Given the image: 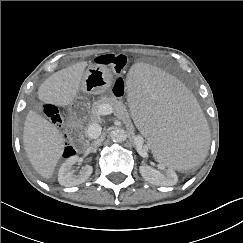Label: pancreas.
Listing matches in <instances>:
<instances>
[{"label":"pancreas","instance_id":"obj_1","mask_svg":"<svg viewBox=\"0 0 243 243\" xmlns=\"http://www.w3.org/2000/svg\"><path fill=\"white\" fill-rule=\"evenodd\" d=\"M103 104H109L112 109H113V113L114 115L121 121H123L124 123H130V117H129V113L127 112V109L125 107V105L121 102L118 101L116 98L110 96H101L97 101H95L92 104L91 107V119H98L100 114V107ZM85 133H87V127L84 128Z\"/></svg>","mask_w":243,"mask_h":243}]
</instances>
